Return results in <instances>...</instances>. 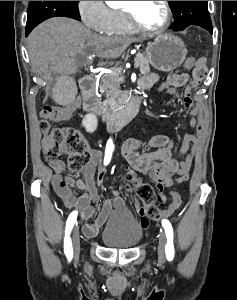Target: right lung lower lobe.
I'll use <instances>...</instances> for the list:
<instances>
[{"label":"right lung lower lobe","mask_w":237,"mask_h":300,"mask_svg":"<svg viewBox=\"0 0 237 300\" xmlns=\"http://www.w3.org/2000/svg\"><path fill=\"white\" fill-rule=\"evenodd\" d=\"M33 28L31 27H26V36L32 31Z\"/></svg>","instance_id":"obj_1"}]
</instances>
